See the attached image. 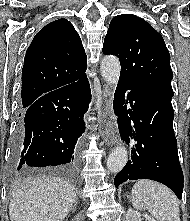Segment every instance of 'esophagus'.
<instances>
[{
  "label": "esophagus",
  "instance_id": "1",
  "mask_svg": "<svg viewBox=\"0 0 190 221\" xmlns=\"http://www.w3.org/2000/svg\"><path fill=\"white\" fill-rule=\"evenodd\" d=\"M113 111V91L109 85L103 87L102 127L101 134L108 146L117 143L116 123L109 119Z\"/></svg>",
  "mask_w": 190,
  "mask_h": 221
}]
</instances>
